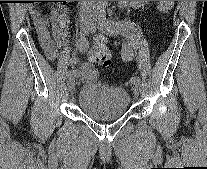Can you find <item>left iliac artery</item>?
<instances>
[{
	"label": "left iliac artery",
	"instance_id": "1",
	"mask_svg": "<svg viewBox=\"0 0 207 169\" xmlns=\"http://www.w3.org/2000/svg\"><path fill=\"white\" fill-rule=\"evenodd\" d=\"M99 24L100 26L106 28V30L111 32L112 34L114 33L120 35H127L128 31L133 29L129 23L108 20L106 18V10L104 7L100 8ZM131 52L132 51H131L130 42H125V46H123V49H121L122 58L125 63L127 61H131L132 59ZM130 81L133 85L136 83H140V77L133 76L131 77Z\"/></svg>",
	"mask_w": 207,
	"mask_h": 169
}]
</instances>
